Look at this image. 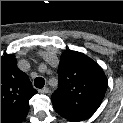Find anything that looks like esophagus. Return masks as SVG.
Masks as SVG:
<instances>
[{"mask_svg":"<svg viewBox=\"0 0 123 123\" xmlns=\"http://www.w3.org/2000/svg\"><path fill=\"white\" fill-rule=\"evenodd\" d=\"M39 92L43 93V94H47V93H49V88L46 86L43 89H41Z\"/></svg>","mask_w":123,"mask_h":123,"instance_id":"obj_1","label":"esophagus"}]
</instances>
